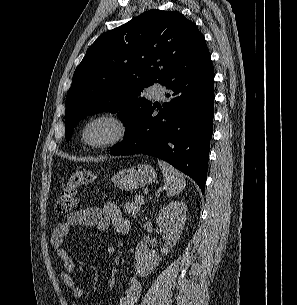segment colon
Listing matches in <instances>:
<instances>
[{
    "label": "colon",
    "mask_w": 297,
    "mask_h": 305,
    "mask_svg": "<svg viewBox=\"0 0 297 305\" xmlns=\"http://www.w3.org/2000/svg\"><path fill=\"white\" fill-rule=\"evenodd\" d=\"M95 178L96 176L92 171L85 169H79L71 173L60 191L56 203V213L66 215L77 211L80 206L78 196L79 188L94 182Z\"/></svg>",
    "instance_id": "obj_1"
}]
</instances>
